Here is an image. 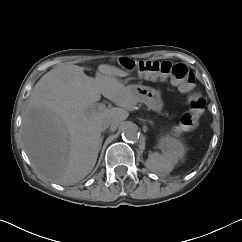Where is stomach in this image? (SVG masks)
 Listing matches in <instances>:
<instances>
[{
  "mask_svg": "<svg viewBox=\"0 0 242 242\" xmlns=\"http://www.w3.org/2000/svg\"><path fill=\"white\" fill-rule=\"evenodd\" d=\"M132 92L139 102L144 103L149 109L155 112H161L163 102L161 92L155 88L143 85H132ZM159 148L164 152L175 151L183 155L185 150L182 143L171 137H162L158 141Z\"/></svg>",
  "mask_w": 242,
  "mask_h": 242,
  "instance_id": "0dacf381",
  "label": "stomach"
}]
</instances>
